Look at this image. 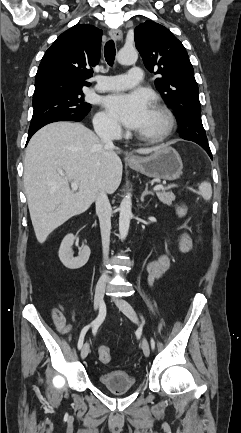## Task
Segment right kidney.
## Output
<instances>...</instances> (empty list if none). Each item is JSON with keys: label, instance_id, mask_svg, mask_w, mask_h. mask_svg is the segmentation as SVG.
Masks as SVG:
<instances>
[{"label": "right kidney", "instance_id": "right-kidney-1", "mask_svg": "<svg viewBox=\"0 0 241 433\" xmlns=\"http://www.w3.org/2000/svg\"><path fill=\"white\" fill-rule=\"evenodd\" d=\"M76 237L73 234H68L62 240L59 248V258L63 265L68 269H79L84 266L90 256V248L88 246H82L79 249V255L73 257L72 245L74 244Z\"/></svg>", "mask_w": 241, "mask_h": 433}]
</instances>
